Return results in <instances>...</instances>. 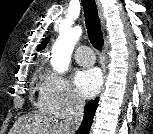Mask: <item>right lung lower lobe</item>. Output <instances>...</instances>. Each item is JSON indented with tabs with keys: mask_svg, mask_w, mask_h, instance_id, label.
Returning <instances> with one entry per match:
<instances>
[{
	"mask_svg": "<svg viewBox=\"0 0 153 134\" xmlns=\"http://www.w3.org/2000/svg\"><path fill=\"white\" fill-rule=\"evenodd\" d=\"M98 106V98L92 100L87 104L84 110V118L77 134H88L91 124L93 122V117Z\"/></svg>",
	"mask_w": 153,
	"mask_h": 134,
	"instance_id": "1",
	"label": "right lung lower lobe"
}]
</instances>
